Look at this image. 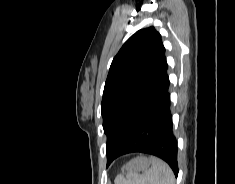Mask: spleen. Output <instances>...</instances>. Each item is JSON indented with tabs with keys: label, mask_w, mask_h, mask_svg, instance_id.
Returning a JSON list of instances; mask_svg holds the SVG:
<instances>
[{
	"label": "spleen",
	"mask_w": 235,
	"mask_h": 184,
	"mask_svg": "<svg viewBox=\"0 0 235 184\" xmlns=\"http://www.w3.org/2000/svg\"><path fill=\"white\" fill-rule=\"evenodd\" d=\"M151 168L145 174L128 172L126 178L117 176L115 184H175L174 174L160 158H150Z\"/></svg>",
	"instance_id": "3e777b00"
}]
</instances>
